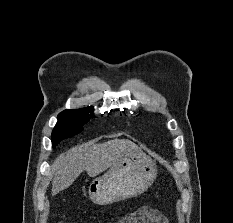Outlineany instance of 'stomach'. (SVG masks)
Segmentation results:
<instances>
[{"label":"stomach","instance_id":"0dacf381","mask_svg":"<svg viewBox=\"0 0 233 223\" xmlns=\"http://www.w3.org/2000/svg\"><path fill=\"white\" fill-rule=\"evenodd\" d=\"M157 177L154 159L140 147L124 153L88 185L89 199L97 205H108L121 199L137 197L149 189Z\"/></svg>","mask_w":233,"mask_h":223}]
</instances>
